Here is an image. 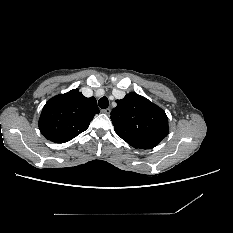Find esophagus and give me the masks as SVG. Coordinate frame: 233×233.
<instances>
[{"instance_id":"obj_1","label":"esophagus","mask_w":233,"mask_h":233,"mask_svg":"<svg viewBox=\"0 0 233 233\" xmlns=\"http://www.w3.org/2000/svg\"><path fill=\"white\" fill-rule=\"evenodd\" d=\"M102 112L105 113V114H107V115H109L110 112H111V109L110 108H106V109L102 110Z\"/></svg>"}]
</instances>
